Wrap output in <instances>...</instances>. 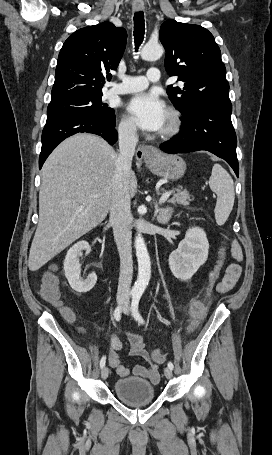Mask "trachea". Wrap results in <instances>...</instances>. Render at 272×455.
Wrapping results in <instances>:
<instances>
[{"instance_id": "3493384b", "label": "trachea", "mask_w": 272, "mask_h": 455, "mask_svg": "<svg viewBox=\"0 0 272 455\" xmlns=\"http://www.w3.org/2000/svg\"><path fill=\"white\" fill-rule=\"evenodd\" d=\"M145 34L144 13L142 11L136 12L134 15V42L136 50L142 43Z\"/></svg>"}]
</instances>
